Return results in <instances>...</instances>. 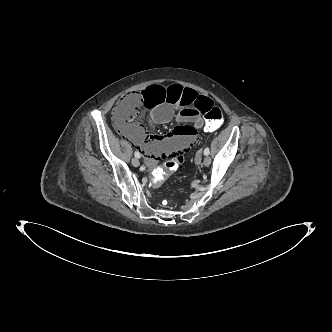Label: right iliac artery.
<instances>
[{"mask_svg":"<svg viewBox=\"0 0 332 332\" xmlns=\"http://www.w3.org/2000/svg\"><path fill=\"white\" fill-rule=\"evenodd\" d=\"M134 155H135L136 158H140L141 157V154L138 151H135Z\"/></svg>","mask_w":332,"mask_h":332,"instance_id":"82829eb1","label":"right iliac artery"}]
</instances>
